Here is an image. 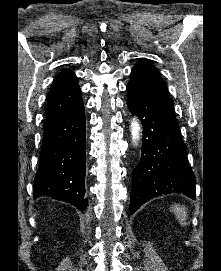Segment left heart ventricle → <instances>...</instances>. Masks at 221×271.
<instances>
[{
    "instance_id": "left-heart-ventricle-1",
    "label": "left heart ventricle",
    "mask_w": 221,
    "mask_h": 271,
    "mask_svg": "<svg viewBox=\"0 0 221 271\" xmlns=\"http://www.w3.org/2000/svg\"><path fill=\"white\" fill-rule=\"evenodd\" d=\"M145 87H154V86H145Z\"/></svg>"
}]
</instances>
